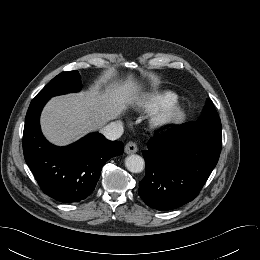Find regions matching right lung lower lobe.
Listing matches in <instances>:
<instances>
[{"label": "right lung lower lobe", "mask_w": 260, "mask_h": 260, "mask_svg": "<svg viewBox=\"0 0 260 260\" xmlns=\"http://www.w3.org/2000/svg\"><path fill=\"white\" fill-rule=\"evenodd\" d=\"M48 97H35L28 108L23 152L42 191L62 203L79 202L94 190L103 165L123 153V143L92 133L80 141L56 147L42 135L39 116Z\"/></svg>", "instance_id": "right-lung-lower-lobe-1"}]
</instances>
